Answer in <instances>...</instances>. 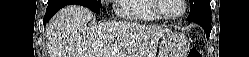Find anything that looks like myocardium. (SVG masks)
<instances>
[{
	"mask_svg": "<svg viewBox=\"0 0 249 57\" xmlns=\"http://www.w3.org/2000/svg\"><path fill=\"white\" fill-rule=\"evenodd\" d=\"M181 1V5H182V9L178 14L175 15H166L162 12V2L163 0H153L152 6L154 11L157 13V15L165 20H176L181 18L185 11H186V0H180Z\"/></svg>",
	"mask_w": 249,
	"mask_h": 57,
	"instance_id": "myocardium-1",
	"label": "myocardium"
}]
</instances>
